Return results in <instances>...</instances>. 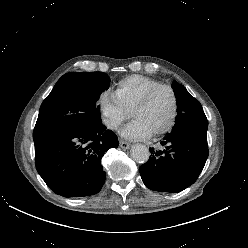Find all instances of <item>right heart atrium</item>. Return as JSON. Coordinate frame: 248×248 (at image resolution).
Segmentation results:
<instances>
[{
  "label": "right heart atrium",
  "mask_w": 248,
  "mask_h": 248,
  "mask_svg": "<svg viewBox=\"0 0 248 248\" xmlns=\"http://www.w3.org/2000/svg\"><path fill=\"white\" fill-rule=\"evenodd\" d=\"M97 106L103 123L110 130H118L129 116V112L121 105L115 94L108 91L100 94Z\"/></svg>",
  "instance_id": "d8ad5b80"
}]
</instances>
